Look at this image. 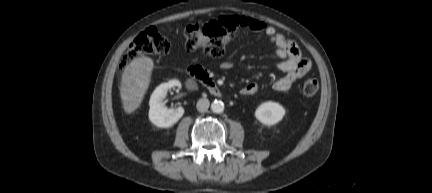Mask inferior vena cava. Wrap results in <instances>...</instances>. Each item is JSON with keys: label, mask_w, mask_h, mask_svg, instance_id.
I'll return each mask as SVG.
<instances>
[{"label": "inferior vena cava", "mask_w": 432, "mask_h": 193, "mask_svg": "<svg viewBox=\"0 0 432 193\" xmlns=\"http://www.w3.org/2000/svg\"><path fill=\"white\" fill-rule=\"evenodd\" d=\"M209 105H210V102L208 99L201 98L198 100L196 107H197V110L199 112H206L209 108Z\"/></svg>", "instance_id": "602c4592"}]
</instances>
